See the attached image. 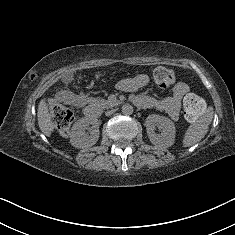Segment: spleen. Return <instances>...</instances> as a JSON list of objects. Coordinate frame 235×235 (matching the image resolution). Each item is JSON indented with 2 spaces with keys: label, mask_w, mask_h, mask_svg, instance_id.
I'll return each instance as SVG.
<instances>
[{
  "label": "spleen",
  "mask_w": 235,
  "mask_h": 235,
  "mask_svg": "<svg viewBox=\"0 0 235 235\" xmlns=\"http://www.w3.org/2000/svg\"><path fill=\"white\" fill-rule=\"evenodd\" d=\"M203 129L206 130L207 129V126L204 124L203 125ZM196 139L194 140H191V138H187V144H191L192 142H194Z\"/></svg>",
  "instance_id": "spleen-1"
}]
</instances>
